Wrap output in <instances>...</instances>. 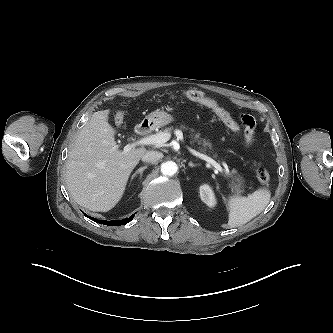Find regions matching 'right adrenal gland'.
<instances>
[{"label":"right adrenal gland","instance_id":"2a0ac1e0","mask_svg":"<svg viewBox=\"0 0 333 333\" xmlns=\"http://www.w3.org/2000/svg\"><path fill=\"white\" fill-rule=\"evenodd\" d=\"M147 165H145V166H143V167H141V168H139L133 175H132V177H131V179H133L137 174H140V177H142V173H143V171L145 170V169H147Z\"/></svg>","mask_w":333,"mask_h":333}]
</instances>
